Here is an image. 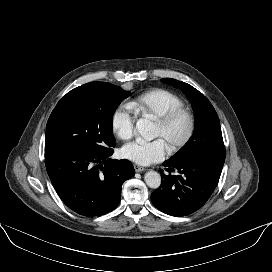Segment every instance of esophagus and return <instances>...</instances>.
<instances>
[{"mask_svg": "<svg viewBox=\"0 0 272 272\" xmlns=\"http://www.w3.org/2000/svg\"><path fill=\"white\" fill-rule=\"evenodd\" d=\"M134 170H135L136 172H143V171H145L146 169H145L144 167H142V166L134 165Z\"/></svg>", "mask_w": 272, "mask_h": 272, "instance_id": "34e87169", "label": "esophagus"}]
</instances>
